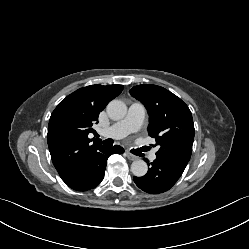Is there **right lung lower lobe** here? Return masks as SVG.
<instances>
[{"mask_svg": "<svg viewBox=\"0 0 249 249\" xmlns=\"http://www.w3.org/2000/svg\"><path fill=\"white\" fill-rule=\"evenodd\" d=\"M124 149L118 145L108 148L98 145L79 165L73 175L64 181L70 188L86 191L96 187L104 177L107 159L112 153L122 154Z\"/></svg>", "mask_w": 249, "mask_h": 249, "instance_id": "98d812e1", "label": "right lung lower lobe"}]
</instances>
